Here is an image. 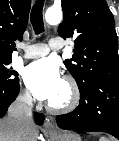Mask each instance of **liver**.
I'll return each instance as SVG.
<instances>
[{
	"label": "liver",
	"instance_id": "obj_1",
	"mask_svg": "<svg viewBox=\"0 0 119 141\" xmlns=\"http://www.w3.org/2000/svg\"><path fill=\"white\" fill-rule=\"evenodd\" d=\"M37 134L35 125L28 133H21L11 119H0V141H35Z\"/></svg>",
	"mask_w": 119,
	"mask_h": 141
}]
</instances>
